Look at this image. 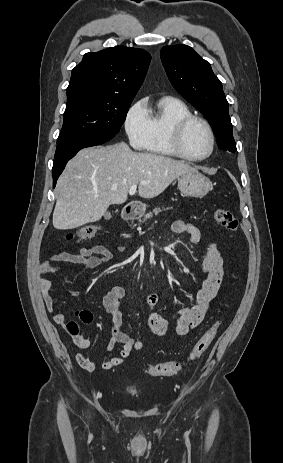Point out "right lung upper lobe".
Here are the masks:
<instances>
[{"label":"right lung upper lobe","instance_id":"obj_1","mask_svg":"<svg viewBox=\"0 0 283 463\" xmlns=\"http://www.w3.org/2000/svg\"><path fill=\"white\" fill-rule=\"evenodd\" d=\"M151 56L148 52L117 46L86 53L71 74L67 95L88 92L133 99L146 75Z\"/></svg>","mask_w":283,"mask_h":463}]
</instances>
